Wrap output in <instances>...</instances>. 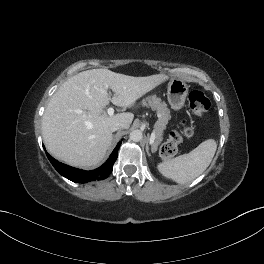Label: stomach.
Segmentation results:
<instances>
[{
    "instance_id": "obj_1",
    "label": "stomach",
    "mask_w": 264,
    "mask_h": 264,
    "mask_svg": "<svg viewBox=\"0 0 264 264\" xmlns=\"http://www.w3.org/2000/svg\"><path fill=\"white\" fill-rule=\"evenodd\" d=\"M188 95V86L180 78H172L168 84L167 98L174 110H179L184 106Z\"/></svg>"
}]
</instances>
